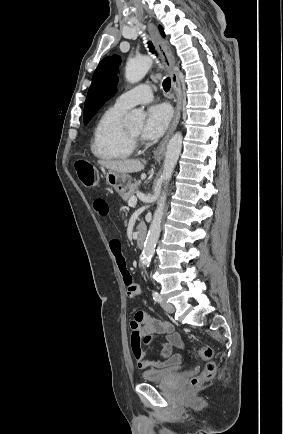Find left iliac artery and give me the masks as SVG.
Listing matches in <instances>:
<instances>
[{"instance_id": "obj_1", "label": "left iliac artery", "mask_w": 283, "mask_h": 434, "mask_svg": "<svg viewBox=\"0 0 283 434\" xmlns=\"http://www.w3.org/2000/svg\"><path fill=\"white\" fill-rule=\"evenodd\" d=\"M152 295H153V299L156 302H161L162 301V297H161V295L158 292L153 291Z\"/></svg>"}]
</instances>
